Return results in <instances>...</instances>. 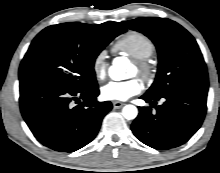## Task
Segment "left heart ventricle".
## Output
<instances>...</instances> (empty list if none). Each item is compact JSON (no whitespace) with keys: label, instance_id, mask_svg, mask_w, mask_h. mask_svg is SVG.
Here are the masks:
<instances>
[{"label":"left heart ventricle","instance_id":"1","mask_svg":"<svg viewBox=\"0 0 220 173\" xmlns=\"http://www.w3.org/2000/svg\"><path fill=\"white\" fill-rule=\"evenodd\" d=\"M136 74V68L133 66L131 69V75H135Z\"/></svg>","mask_w":220,"mask_h":173}]
</instances>
